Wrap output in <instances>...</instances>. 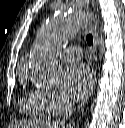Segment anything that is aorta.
<instances>
[{"instance_id": "762f6f07", "label": "aorta", "mask_w": 125, "mask_h": 128, "mask_svg": "<svg viewBox=\"0 0 125 128\" xmlns=\"http://www.w3.org/2000/svg\"><path fill=\"white\" fill-rule=\"evenodd\" d=\"M88 14L74 10L66 16L51 18L38 32L30 60L34 81L43 87L54 86L59 79L55 52L88 22Z\"/></svg>"}]
</instances>
